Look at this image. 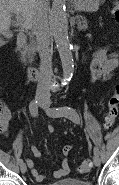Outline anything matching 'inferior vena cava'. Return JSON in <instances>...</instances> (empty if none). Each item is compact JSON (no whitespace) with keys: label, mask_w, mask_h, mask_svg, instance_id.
Segmentation results:
<instances>
[{"label":"inferior vena cava","mask_w":119,"mask_h":185,"mask_svg":"<svg viewBox=\"0 0 119 185\" xmlns=\"http://www.w3.org/2000/svg\"><path fill=\"white\" fill-rule=\"evenodd\" d=\"M45 1L42 0L34 14L32 31L36 37L37 50L40 56V79L37 85L36 97L50 99L52 83V50Z\"/></svg>","instance_id":"602c4592"}]
</instances>
